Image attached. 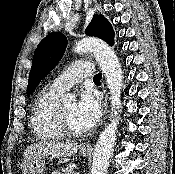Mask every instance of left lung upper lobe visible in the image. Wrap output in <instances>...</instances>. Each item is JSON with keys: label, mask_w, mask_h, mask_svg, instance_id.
I'll return each mask as SVG.
<instances>
[{"label": "left lung upper lobe", "mask_w": 175, "mask_h": 174, "mask_svg": "<svg viewBox=\"0 0 175 174\" xmlns=\"http://www.w3.org/2000/svg\"><path fill=\"white\" fill-rule=\"evenodd\" d=\"M86 34L103 39L109 45L114 43V31L103 15H94L86 28ZM67 38L61 33H51L38 45L32 61L27 94L30 95L40 80L50 72L64 54Z\"/></svg>", "instance_id": "obj_1"}]
</instances>
